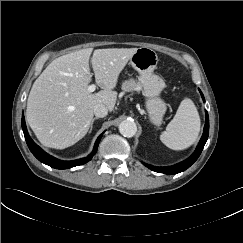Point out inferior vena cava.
Masks as SVG:
<instances>
[{
	"label": "inferior vena cava",
	"instance_id": "inferior-vena-cava-1",
	"mask_svg": "<svg viewBox=\"0 0 243 243\" xmlns=\"http://www.w3.org/2000/svg\"><path fill=\"white\" fill-rule=\"evenodd\" d=\"M94 114L96 117H105L108 113V108L104 104H97L94 106Z\"/></svg>",
	"mask_w": 243,
	"mask_h": 243
}]
</instances>
